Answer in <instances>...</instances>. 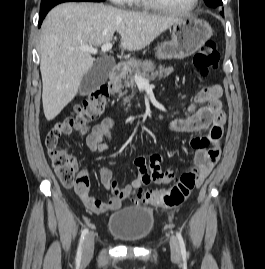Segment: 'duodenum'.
Masks as SVG:
<instances>
[{"label": "duodenum", "instance_id": "obj_1", "mask_svg": "<svg viewBox=\"0 0 265 269\" xmlns=\"http://www.w3.org/2000/svg\"><path fill=\"white\" fill-rule=\"evenodd\" d=\"M123 74V68L121 63L116 64L114 67L111 68L109 73V86L113 88L121 79Z\"/></svg>", "mask_w": 265, "mask_h": 269}]
</instances>
